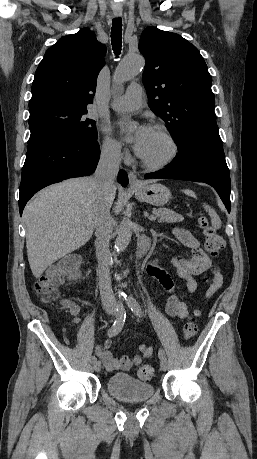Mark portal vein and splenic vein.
Segmentation results:
<instances>
[{
	"instance_id": "portal-vein-and-splenic-vein-1",
	"label": "portal vein and splenic vein",
	"mask_w": 257,
	"mask_h": 459,
	"mask_svg": "<svg viewBox=\"0 0 257 459\" xmlns=\"http://www.w3.org/2000/svg\"><path fill=\"white\" fill-rule=\"evenodd\" d=\"M149 219H150L151 221H154V220L156 219V216L151 215V216L149 217Z\"/></svg>"
}]
</instances>
